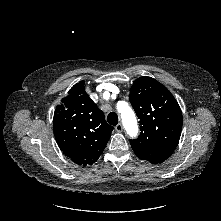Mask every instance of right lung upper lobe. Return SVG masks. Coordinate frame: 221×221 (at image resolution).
I'll return each mask as SVG.
<instances>
[{
    "label": "right lung upper lobe",
    "mask_w": 221,
    "mask_h": 221,
    "mask_svg": "<svg viewBox=\"0 0 221 221\" xmlns=\"http://www.w3.org/2000/svg\"><path fill=\"white\" fill-rule=\"evenodd\" d=\"M53 130L60 150L78 165H91L103 152L113 127L85 91L75 84L56 107Z\"/></svg>",
    "instance_id": "obj_1"
}]
</instances>
